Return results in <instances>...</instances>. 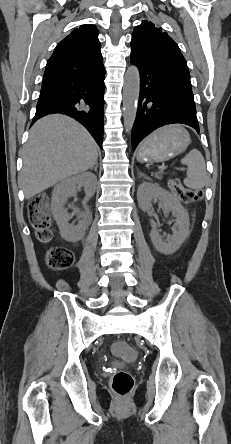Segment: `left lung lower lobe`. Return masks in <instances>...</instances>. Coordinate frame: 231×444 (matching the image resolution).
I'll list each match as a JSON object with an SVG mask.
<instances>
[{
	"mask_svg": "<svg viewBox=\"0 0 231 444\" xmlns=\"http://www.w3.org/2000/svg\"><path fill=\"white\" fill-rule=\"evenodd\" d=\"M140 73V95L132 129V147L155 129L183 123L199 132L191 83L174 71L159 65L131 59Z\"/></svg>",
	"mask_w": 231,
	"mask_h": 444,
	"instance_id": "1",
	"label": "left lung lower lobe"
}]
</instances>
